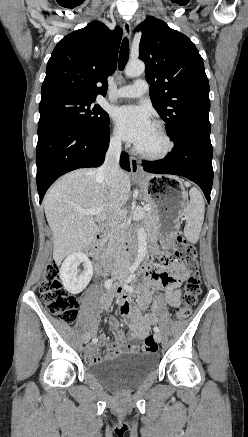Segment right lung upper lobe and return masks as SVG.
I'll list each match as a JSON object with an SVG mask.
<instances>
[{"label":"right lung upper lobe","instance_id":"1","mask_svg":"<svg viewBox=\"0 0 248 437\" xmlns=\"http://www.w3.org/2000/svg\"><path fill=\"white\" fill-rule=\"evenodd\" d=\"M121 37L120 27L111 31L99 21L65 36L48 61L41 97L64 93L96 100L98 94L105 96L107 77L116 69Z\"/></svg>","mask_w":248,"mask_h":437}]
</instances>
